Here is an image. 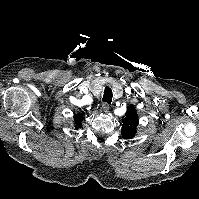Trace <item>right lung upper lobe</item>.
Listing matches in <instances>:
<instances>
[{"label": "right lung upper lobe", "mask_w": 199, "mask_h": 199, "mask_svg": "<svg viewBox=\"0 0 199 199\" xmlns=\"http://www.w3.org/2000/svg\"><path fill=\"white\" fill-rule=\"evenodd\" d=\"M82 119H83V117H82V115H80V114L77 115V116H74V122H75V124H76V129L82 127V124H81Z\"/></svg>", "instance_id": "cb5924a9"}]
</instances>
